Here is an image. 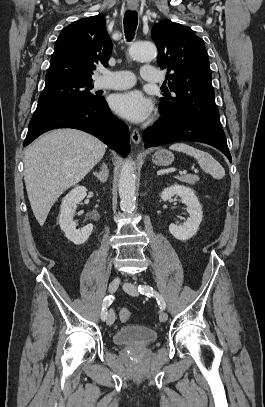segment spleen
Returning <instances> with one entry per match:
<instances>
[{
	"label": "spleen",
	"mask_w": 265,
	"mask_h": 407,
	"mask_svg": "<svg viewBox=\"0 0 265 407\" xmlns=\"http://www.w3.org/2000/svg\"><path fill=\"white\" fill-rule=\"evenodd\" d=\"M169 148L194 157L198 161L202 170L212 175L214 179H222L225 176L224 168L209 153L196 149L185 143H175Z\"/></svg>",
	"instance_id": "obj_1"
}]
</instances>
